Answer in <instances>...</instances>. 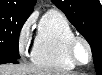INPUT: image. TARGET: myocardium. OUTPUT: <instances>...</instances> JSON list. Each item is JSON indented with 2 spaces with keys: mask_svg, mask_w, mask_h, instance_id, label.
<instances>
[{
  "mask_svg": "<svg viewBox=\"0 0 102 75\" xmlns=\"http://www.w3.org/2000/svg\"><path fill=\"white\" fill-rule=\"evenodd\" d=\"M79 46H83L84 47V50H85V53H86V58L84 60H81L79 58V55H78V47ZM68 52H69L72 60L76 64H86L91 59V48H90V45H89L88 41L84 37L79 36V35H75L68 42Z\"/></svg>",
  "mask_w": 102,
  "mask_h": 75,
  "instance_id": "f54148a6",
  "label": "myocardium"
}]
</instances>
